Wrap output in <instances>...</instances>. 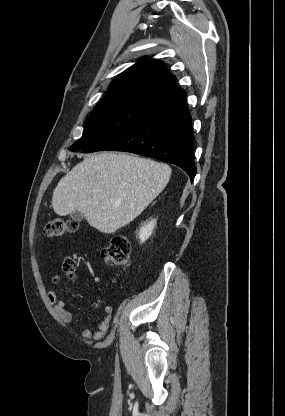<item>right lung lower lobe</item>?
Instances as JSON below:
<instances>
[{"instance_id": "1", "label": "right lung lower lobe", "mask_w": 285, "mask_h": 416, "mask_svg": "<svg viewBox=\"0 0 285 416\" xmlns=\"http://www.w3.org/2000/svg\"><path fill=\"white\" fill-rule=\"evenodd\" d=\"M194 135L186 102L162 108L123 130L95 143L83 153L125 151L152 157L196 175Z\"/></svg>"}]
</instances>
